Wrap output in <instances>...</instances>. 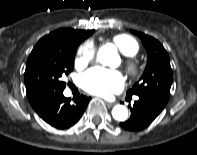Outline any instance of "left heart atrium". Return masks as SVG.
<instances>
[{"instance_id": "obj_1", "label": "left heart atrium", "mask_w": 197, "mask_h": 155, "mask_svg": "<svg viewBox=\"0 0 197 155\" xmlns=\"http://www.w3.org/2000/svg\"><path fill=\"white\" fill-rule=\"evenodd\" d=\"M81 86L91 94L108 96L122 90L124 79L117 71L94 67L81 76Z\"/></svg>"}]
</instances>
